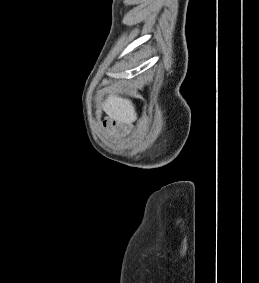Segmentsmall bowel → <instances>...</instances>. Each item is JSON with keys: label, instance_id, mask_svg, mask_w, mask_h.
<instances>
[{"label": "small bowel", "instance_id": "1", "mask_svg": "<svg viewBox=\"0 0 259 283\" xmlns=\"http://www.w3.org/2000/svg\"><path fill=\"white\" fill-rule=\"evenodd\" d=\"M101 128L110 136L117 139L124 138L130 133V128L125 123L112 118L102 121Z\"/></svg>", "mask_w": 259, "mask_h": 283}]
</instances>
